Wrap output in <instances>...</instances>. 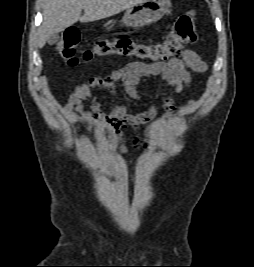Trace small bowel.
I'll return each instance as SVG.
<instances>
[{"instance_id":"1","label":"small bowel","mask_w":254,"mask_h":267,"mask_svg":"<svg viewBox=\"0 0 254 267\" xmlns=\"http://www.w3.org/2000/svg\"><path fill=\"white\" fill-rule=\"evenodd\" d=\"M187 68L203 73L207 65L190 49L184 50L180 57L172 58L168 62H130L106 77L90 78L77 85L68 98L65 110L72 123L91 127L100 133L95 138L96 148L111 154H125L128 148L124 143L121 129L130 125L138 130L142 124L157 116L158 109L156 106H151L141 113L130 114L124 104L116 103L113 111L107 114L96 100L94 91L101 88L116 98V83L122 81L125 94L131 99L138 100L140 99L138 86L142 79L159 76L167 86L179 93L191 84V75ZM84 101H90V111H84ZM161 104L165 117L177 109L171 95H164ZM194 105L195 101L192 100L180 106L179 110L181 113H189Z\"/></svg>"}]
</instances>
